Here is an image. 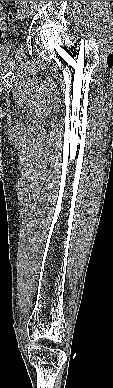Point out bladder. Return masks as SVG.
Masks as SVG:
<instances>
[{
  "label": "bladder",
  "instance_id": "31cf9c89",
  "mask_svg": "<svg viewBox=\"0 0 113 388\" xmlns=\"http://www.w3.org/2000/svg\"><path fill=\"white\" fill-rule=\"evenodd\" d=\"M12 51H13L12 43H0V60L7 58Z\"/></svg>",
  "mask_w": 113,
  "mask_h": 388
}]
</instances>
